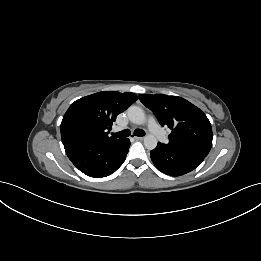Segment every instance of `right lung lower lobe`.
<instances>
[{
    "instance_id": "obj_1",
    "label": "right lung lower lobe",
    "mask_w": 261,
    "mask_h": 261,
    "mask_svg": "<svg viewBox=\"0 0 261 261\" xmlns=\"http://www.w3.org/2000/svg\"><path fill=\"white\" fill-rule=\"evenodd\" d=\"M129 139L77 141L64 144L71 162L84 174L101 178L114 173L125 161Z\"/></svg>"
}]
</instances>
